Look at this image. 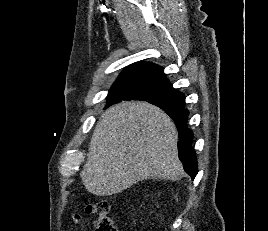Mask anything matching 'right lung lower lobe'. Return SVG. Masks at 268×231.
I'll list each match as a JSON object with an SVG mask.
<instances>
[{
  "label": "right lung lower lobe",
  "instance_id": "1",
  "mask_svg": "<svg viewBox=\"0 0 268 231\" xmlns=\"http://www.w3.org/2000/svg\"><path fill=\"white\" fill-rule=\"evenodd\" d=\"M162 109L174 120L177 126L179 133V159L183 163L184 170L194 179L198 173V169L195 151L192 147L193 132L187 127L188 110L184 109V106L166 107Z\"/></svg>",
  "mask_w": 268,
  "mask_h": 231
}]
</instances>
